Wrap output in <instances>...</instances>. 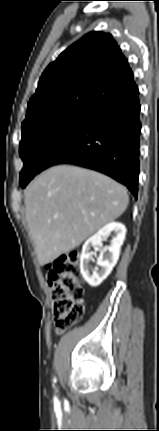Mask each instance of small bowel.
Instances as JSON below:
<instances>
[{"instance_id": "small-bowel-1", "label": "small bowel", "mask_w": 159, "mask_h": 431, "mask_svg": "<svg viewBox=\"0 0 159 431\" xmlns=\"http://www.w3.org/2000/svg\"><path fill=\"white\" fill-rule=\"evenodd\" d=\"M55 333H57V334H62V333H63V331H62V330H60V329H55Z\"/></svg>"}]
</instances>
